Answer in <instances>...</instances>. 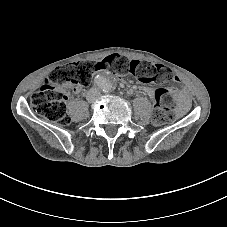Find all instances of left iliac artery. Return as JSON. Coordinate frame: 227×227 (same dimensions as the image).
Here are the masks:
<instances>
[{
  "mask_svg": "<svg viewBox=\"0 0 227 227\" xmlns=\"http://www.w3.org/2000/svg\"><path fill=\"white\" fill-rule=\"evenodd\" d=\"M111 89H112V86L110 85V84H108V83H106L105 85H104V87H103V91L104 92H110L111 91Z\"/></svg>",
  "mask_w": 227,
  "mask_h": 227,
  "instance_id": "obj_1",
  "label": "left iliac artery"
}]
</instances>
